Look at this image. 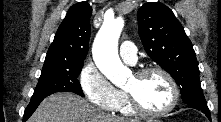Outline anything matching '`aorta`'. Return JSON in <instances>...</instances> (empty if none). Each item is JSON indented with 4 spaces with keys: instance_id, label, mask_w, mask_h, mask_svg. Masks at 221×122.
<instances>
[{
    "instance_id": "aorta-1",
    "label": "aorta",
    "mask_w": 221,
    "mask_h": 122,
    "mask_svg": "<svg viewBox=\"0 0 221 122\" xmlns=\"http://www.w3.org/2000/svg\"><path fill=\"white\" fill-rule=\"evenodd\" d=\"M124 26L122 18L105 21L96 35L92 53L99 70L116 86L126 82L128 69L122 64L117 50Z\"/></svg>"
}]
</instances>
